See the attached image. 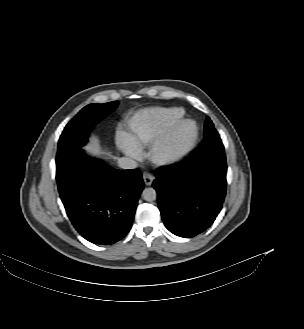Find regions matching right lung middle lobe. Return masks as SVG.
I'll return each instance as SVG.
<instances>
[{"label": "right lung middle lobe", "mask_w": 304, "mask_h": 329, "mask_svg": "<svg viewBox=\"0 0 304 329\" xmlns=\"http://www.w3.org/2000/svg\"><path fill=\"white\" fill-rule=\"evenodd\" d=\"M117 106L118 101H113L105 104H89L84 107L64 128L59 139L56 159L79 150L85 145L93 127Z\"/></svg>", "instance_id": "1"}]
</instances>
